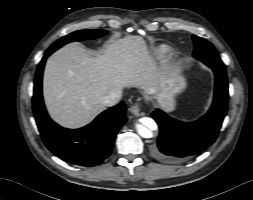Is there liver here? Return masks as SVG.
Here are the masks:
<instances>
[{
    "label": "liver",
    "instance_id": "obj_1",
    "mask_svg": "<svg viewBox=\"0 0 253 200\" xmlns=\"http://www.w3.org/2000/svg\"><path fill=\"white\" fill-rule=\"evenodd\" d=\"M155 80V66L145 41L129 35L112 41L96 57L76 43L56 51L46 62L43 94L56 122L78 128L105 109L103 98L110 92L138 87L153 93Z\"/></svg>",
    "mask_w": 253,
    "mask_h": 200
}]
</instances>
